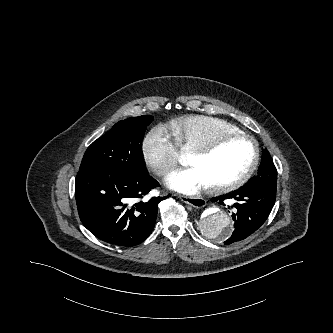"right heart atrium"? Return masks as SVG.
Instances as JSON below:
<instances>
[{"mask_svg":"<svg viewBox=\"0 0 333 333\" xmlns=\"http://www.w3.org/2000/svg\"><path fill=\"white\" fill-rule=\"evenodd\" d=\"M144 164L157 176L164 177L179 163V151L169 133L162 126L152 128L141 144Z\"/></svg>","mask_w":333,"mask_h":333,"instance_id":"right-heart-atrium-1","label":"right heart atrium"}]
</instances>
